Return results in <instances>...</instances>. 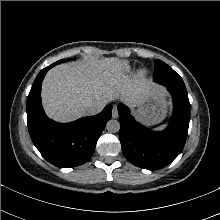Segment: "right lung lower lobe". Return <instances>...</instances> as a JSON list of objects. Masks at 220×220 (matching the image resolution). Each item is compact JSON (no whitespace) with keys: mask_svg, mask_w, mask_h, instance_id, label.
Wrapping results in <instances>:
<instances>
[{"mask_svg":"<svg viewBox=\"0 0 220 220\" xmlns=\"http://www.w3.org/2000/svg\"><path fill=\"white\" fill-rule=\"evenodd\" d=\"M52 64L40 71L27 99V122L31 139L51 164L65 168L76 167L92 156L96 142L111 118L112 106L107 105L97 115L83 117L70 123H57L49 119L41 104V84Z\"/></svg>","mask_w":220,"mask_h":220,"instance_id":"right-lung-lower-lobe-1","label":"right lung lower lobe"}]
</instances>
